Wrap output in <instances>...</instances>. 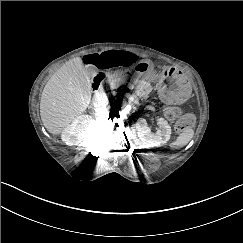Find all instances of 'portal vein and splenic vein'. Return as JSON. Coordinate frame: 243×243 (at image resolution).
Segmentation results:
<instances>
[{"label":"portal vein and splenic vein","mask_w":243,"mask_h":243,"mask_svg":"<svg viewBox=\"0 0 243 243\" xmlns=\"http://www.w3.org/2000/svg\"><path fill=\"white\" fill-rule=\"evenodd\" d=\"M127 81L126 80H116L115 82L110 83L111 89H116L119 85H126ZM129 89H133L134 86L132 84L128 85Z\"/></svg>","instance_id":"1"}]
</instances>
